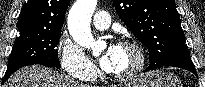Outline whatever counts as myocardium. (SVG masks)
Here are the masks:
<instances>
[{
	"instance_id": "myocardium-1",
	"label": "myocardium",
	"mask_w": 205,
	"mask_h": 87,
	"mask_svg": "<svg viewBox=\"0 0 205 87\" xmlns=\"http://www.w3.org/2000/svg\"><path fill=\"white\" fill-rule=\"evenodd\" d=\"M118 46L132 49L136 53L137 61L135 66L130 71L126 73H111L110 75L120 81L131 80L138 76L145 66L146 56L144 49L138 42L133 40H123L119 42Z\"/></svg>"
}]
</instances>
